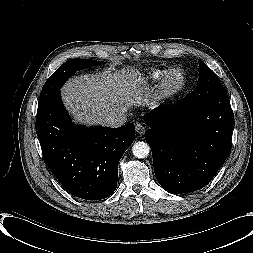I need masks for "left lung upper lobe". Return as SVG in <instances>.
<instances>
[{
    "mask_svg": "<svg viewBox=\"0 0 253 253\" xmlns=\"http://www.w3.org/2000/svg\"><path fill=\"white\" fill-rule=\"evenodd\" d=\"M198 62L200 70L199 79L197 87L191 92V94L198 98L199 101H205L223 86L216 74L210 70L202 60H198Z\"/></svg>",
    "mask_w": 253,
    "mask_h": 253,
    "instance_id": "obj_1",
    "label": "left lung upper lobe"
}]
</instances>
